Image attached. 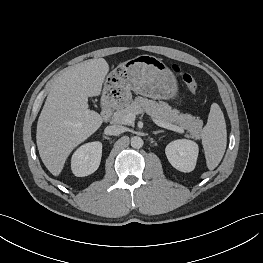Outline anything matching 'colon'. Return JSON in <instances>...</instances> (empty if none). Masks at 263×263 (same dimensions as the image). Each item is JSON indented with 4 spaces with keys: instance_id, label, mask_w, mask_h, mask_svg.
<instances>
[{
    "instance_id": "1",
    "label": "colon",
    "mask_w": 263,
    "mask_h": 263,
    "mask_svg": "<svg viewBox=\"0 0 263 263\" xmlns=\"http://www.w3.org/2000/svg\"><path fill=\"white\" fill-rule=\"evenodd\" d=\"M173 70L177 73L182 81L186 84L190 91L196 93L198 90V83L194 76L188 72L182 71L177 65H173Z\"/></svg>"
}]
</instances>
